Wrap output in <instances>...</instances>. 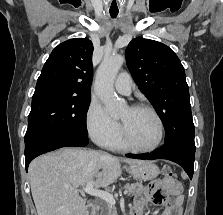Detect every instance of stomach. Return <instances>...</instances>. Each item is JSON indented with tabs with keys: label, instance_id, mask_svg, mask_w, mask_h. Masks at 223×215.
Listing matches in <instances>:
<instances>
[{
	"label": "stomach",
	"instance_id": "obj_1",
	"mask_svg": "<svg viewBox=\"0 0 223 215\" xmlns=\"http://www.w3.org/2000/svg\"><path fill=\"white\" fill-rule=\"evenodd\" d=\"M126 171L133 175L135 179H154L159 175V167L153 161H141V163H137V165H128L125 167Z\"/></svg>",
	"mask_w": 223,
	"mask_h": 215
}]
</instances>
